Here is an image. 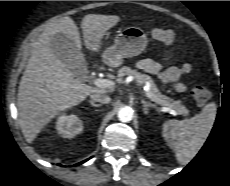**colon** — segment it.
<instances>
[{
    "mask_svg": "<svg viewBox=\"0 0 230 186\" xmlns=\"http://www.w3.org/2000/svg\"><path fill=\"white\" fill-rule=\"evenodd\" d=\"M150 34L155 40L165 44L173 43L176 38L173 30L165 28H154L151 30ZM192 94L199 105L205 104L210 98V91L202 85L194 87Z\"/></svg>",
    "mask_w": 230,
    "mask_h": 186,
    "instance_id": "obj_1",
    "label": "colon"
}]
</instances>
